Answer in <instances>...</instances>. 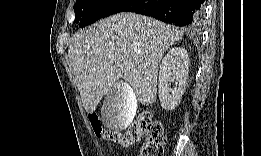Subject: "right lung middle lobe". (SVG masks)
Listing matches in <instances>:
<instances>
[{
    "mask_svg": "<svg viewBox=\"0 0 261 156\" xmlns=\"http://www.w3.org/2000/svg\"><path fill=\"white\" fill-rule=\"evenodd\" d=\"M124 0H76L74 5L75 20L80 27L87 26L98 19L109 15Z\"/></svg>",
    "mask_w": 261,
    "mask_h": 156,
    "instance_id": "right-lung-middle-lobe-1",
    "label": "right lung middle lobe"
}]
</instances>
